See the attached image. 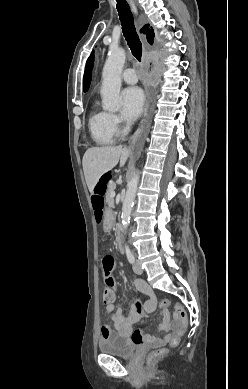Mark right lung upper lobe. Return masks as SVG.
I'll use <instances>...</instances> for the list:
<instances>
[{
	"label": "right lung upper lobe",
	"instance_id": "obj_1",
	"mask_svg": "<svg viewBox=\"0 0 248 389\" xmlns=\"http://www.w3.org/2000/svg\"><path fill=\"white\" fill-rule=\"evenodd\" d=\"M141 31L146 35L147 41L152 45L154 43L155 36L153 28L149 27V24H146L143 26Z\"/></svg>",
	"mask_w": 248,
	"mask_h": 389
}]
</instances>
